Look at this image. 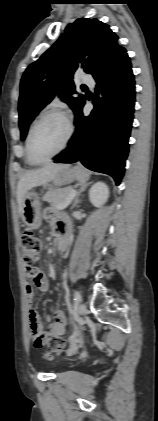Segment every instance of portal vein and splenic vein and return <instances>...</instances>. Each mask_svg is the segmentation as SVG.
<instances>
[{
  "instance_id": "obj_1",
  "label": "portal vein and splenic vein",
  "mask_w": 158,
  "mask_h": 421,
  "mask_svg": "<svg viewBox=\"0 0 158 421\" xmlns=\"http://www.w3.org/2000/svg\"><path fill=\"white\" fill-rule=\"evenodd\" d=\"M75 195H76V191L75 190H72L70 192V194H69L66 202L63 205L59 206L58 209H60V210L65 209L71 203V201L73 200V198L75 197Z\"/></svg>"
}]
</instances>
